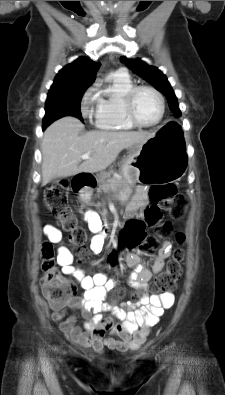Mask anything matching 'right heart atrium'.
Here are the masks:
<instances>
[{
  "mask_svg": "<svg viewBox=\"0 0 225 395\" xmlns=\"http://www.w3.org/2000/svg\"><path fill=\"white\" fill-rule=\"evenodd\" d=\"M92 100H94V96L90 90L85 94L81 105V111L84 117H89L92 114L89 108V104Z\"/></svg>",
  "mask_w": 225,
  "mask_h": 395,
  "instance_id": "right-heart-atrium-1",
  "label": "right heart atrium"
}]
</instances>
